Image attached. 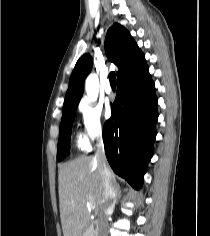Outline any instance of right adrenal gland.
I'll return each instance as SVG.
<instances>
[{"label":"right adrenal gland","instance_id":"2a0ac1e0","mask_svg":"<svg viewBox=\"0 0 210 236\" xmlns=\"http://www.w3.org/2000/svg\"><path fill=\"white\" fill-rule=\"evenodd\" d=\"M115 189H116V193H117V199L119 200L122 195V190H121L120 185L118 183L115 184ZM124 191H126V189H123V192Z\"/></svg>","mask_w":210,"mask_h":236}]
</instances>
